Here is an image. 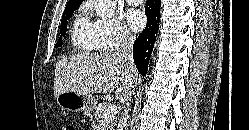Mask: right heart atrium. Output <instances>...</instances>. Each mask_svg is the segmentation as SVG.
<instances>
[{"mask_svg": "<svg viewBox=\"0 0 249 130\" xmlns=\"http://www.w3.org/2000/svg\"><path fill=\"white\" fill-rule=\"evenodd\" d=\"M94 24L100 47L104 51H115L132 44L134 41V35L118 16L99 18Z\"/></svg>", "mask_w": 249, "mask_h": 130, "instance_id": "d8ad5b80", "label": "right heart atrium"}]
</instances>
